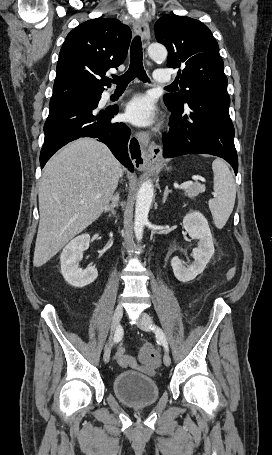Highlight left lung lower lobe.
Instances as JSON below:
<instances>
[{
  "label": "left lung lower lobe",
  "mask_w": 272,
  "mask_h": 455,
  "mask_svg": "<svg viewBox=\"0 0 272 455\" xmlns=\"http://www.w3.org/2000/svg\"><path fill=\"white\" fill-rule=\"evenodd\" d=\"M165 104L173 114L170 130L162 138L165 158L211 154L225 159L237 174L238 157L228 94H201L180 106Z\"/></svg>",
  "instance_id": "0a47b994"
}]
</instances>
